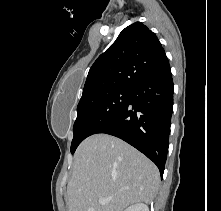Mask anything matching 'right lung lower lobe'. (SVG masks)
<instances>
[{
    "instance_id": "right-lung-lower-lobe-1",
    "label": "right lung lower lobe",
    "mask_w": 221,
    "mask_h": 211,
    "mask_svg": "<svg viewBox=\"0 0 221 211\" xmlns=\"http://www.w3.org/2000/svg\"><path fill=\"white\" fill-rule=\"evenodd\" d=\"M173 92L170 68L142 79L131 87L124 107L96 133L126 141L152 160L162 177L169 146Z\"/></svg>"
}]
</instances>
